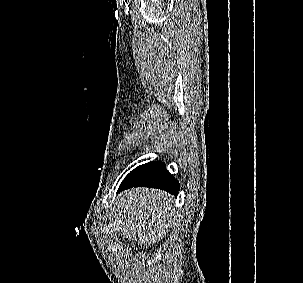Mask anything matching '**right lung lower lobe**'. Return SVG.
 Wrapping results in <instances>:
<instances>
[{
  "label": "right lung lower lobe",
  "instance_id": "1",
  "mask_svg": "<svg viewBox=\"0 0 303 283\" xmlns=\"http://www.w3.org/2000/svg\"><path fill=\"white\" fill-rule=\"evenodd\" d=\"M152 187L177 195L180 184L161 161L149 162L132 170L122 181L118 192L132 187Z\"/></svg>",
  "mask_w": 303,
  "mask_h": 283
}]
</instances>
